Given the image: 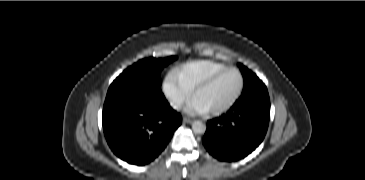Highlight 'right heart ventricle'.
I'll list each match as a JSON object with an SVG mask.
<instances>
[{"label":"right heart ventricle","instance_id":"e07e8e85","mask_svg":"<svg viewBox=\"0 0 365 180\" xmlns=\"http://www.w3.org/2000/svg\"><path fill=\"white\" fill-rule=\"evenodd\" d=\"M228 65L216 61H197L186 64L178 69L177 75L181 84L189 92L198 87L215 73L227 68Z\"/></svg>","mask_w":365,"mask_h":180}]
</instances>
